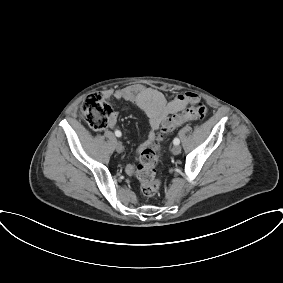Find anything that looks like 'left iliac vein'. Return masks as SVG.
<instances>
[{
	"label": "left iliac vein",
	"instance_id": "left-iliac-vein-1",
	"mask_svg": "<svg viewBox=\"0 0 283 283\" xmlns=\"http://www.w3.org/2000/svg\"><path fill=\"white\" fill-rule=\"evenodd\" d=\"M180 152H181V146H180V145H175V146L172 148V153H173L174 155H178V154H180Z\"/></svg>",
	"mask_w": 283,
	"mask_h": 283
}]
</instances>
